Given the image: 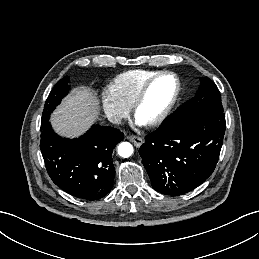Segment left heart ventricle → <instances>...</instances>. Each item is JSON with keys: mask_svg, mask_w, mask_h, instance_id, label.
<instances>
[{"mask_svg": "<svg viewBox=\"0 0 259 259\" xmlns=\"http://www.w3.org/2000/svg\"><path fill=\"white\" fill-rule=\"evenodd\" d=\"M175 87L172 77L166 76L156 80L137 111V120L147 123L158 117L172 99Z\"/></svg>", "mask_w": 259, "mask_h": 259, "instance_id": "obj_1", "label": "left heart ventricle"}]
</instances>
